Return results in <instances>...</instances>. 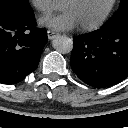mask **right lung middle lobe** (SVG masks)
Wrapping results in <instances>:
<instances>
[{"label": "right lung middle lobe", "instance_id": "obj_1", "mask_svg": "<svg viewBox=\"0 0 128 128\" xmlns=\"http://www.w3.org/2000/svg\"><path fill=\"white\" fill-rule=\"evenodd\" d=\"M29 0H0V14L29 13Z\"/></svg>", "mask_w": 128, "mask_h": 128}]
</instances>
